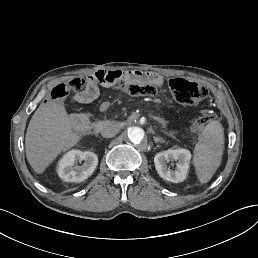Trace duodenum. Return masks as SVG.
Here are the masks:
<instances>
[{
  "label": "duodenum",
  "mask_w": 258,
  "mask_h": 258,
  "mask_svg": "<svg viewBox=\"0 0 258 258\" xmlns=\"http://www.w3.org/2000/svg\"><path fill=\"white\" fill-rule=\"evenodd\" d=\"M129 77V73L123 69H112L106 71H98L88 77L91 86L96 87L102 85L105 87H113L120 84L124 79Z\"/></svg>",
  "instance_id": "duodenum-1"
}]
</instances>
